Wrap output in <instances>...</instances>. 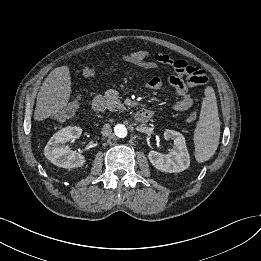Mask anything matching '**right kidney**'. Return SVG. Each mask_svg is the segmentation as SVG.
Returning <instances> with one entry per match:
<instances>
[{
    "mask_svg": "<svg viewBox=\"0 0 261 261\" xmlns=\"http://www.w3.org/2000/svg\"><path fill=\"white\" fill-rule=\"evenodd\" d=\"M82 134L80 127H65L55 133L44 148V155L53 164L63 168L81 167L86 162L83 155L70 151L66 145H61L69 140L78 139Z\"/></svg>",
    "mask_w": 261,
    "mask_h": 261,
    "instance_id": "obj_1",
    "label": "right kidney"
}]
</instances>
